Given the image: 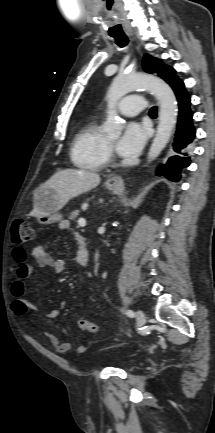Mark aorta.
Instances as JSON below:
<instances>
[{"instance_id":"762f6f07","label":"aorta","mask_w":215,"mask_h":433,"mask_svg":"<svg viewBox=\"0 0 215 433\" xmlns=\"http://www.w3.org/2000/svg\"><path fill=\"white\" fill-rule=\"evenodd\" d=\"M136 89L151 91L160 106L157 133L147 157V162L150 163L160 155L167 145L175 127L178 114L175 94L171 87L162 79L147 74L131 73L118 75L113 80L107 93L108 114L105 131L110 137L120 136L123 125L116 111L117 103L124 95Z\"/></svg>"}]
</instances>
